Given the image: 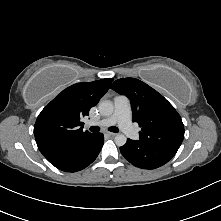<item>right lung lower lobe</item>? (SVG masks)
I'll use <instances>...</instances> for the list:
<instances>
[{"label": "right lung lower lobe", "mask_w": 221, "mask_h": 221, "mask_svg": "<svg viewBox=\"0 0 221 221\" xmlns=\"http://www.w3.org/2000/svg\"><path fill=\"white\" fill-rule=\"evenodd\" d=\"M103 143V134L93 133L68 146L57 160L50 163L62 171L77 172L96 159Z\"/></svg>", "instance_id": "obj_1"}]
</instances>
